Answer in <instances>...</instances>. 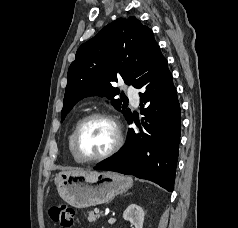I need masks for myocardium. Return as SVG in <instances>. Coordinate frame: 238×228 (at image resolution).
Segmentation results:
<instances>
[{"instance_id":"myocardium-1","label":"myocardium","mask_w":238,"mask_h":228,"mask_svg":"<svg viewBox=\"0 0 238 228\" xmlns=\"http://www.w3.org/2000/svg\"><path fill=\"white\" fill-rule=\"evenodd\" d=\"M94 119H104V120L109 121L113 125L114 130H115V142L108 151L101 154L100 156L92 157V158H85L79 154L78 141H79L80 134H81L82 130L84 129V127L86 126V124ZM122 143H123L122 131H121L119 122L116 120V118L113 115H111L110 113L103 112V111H96V112H92V113L86 115L79 121V123L75 129L74 135H73L72 150H73V154H74L75 158L79 162L94 163V162L103 161V160L111 157L112 155H114L121 148Z\"/></svg>"}]
</instances>
